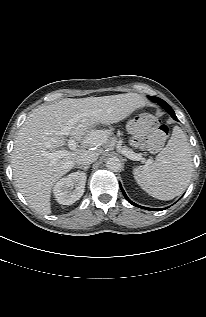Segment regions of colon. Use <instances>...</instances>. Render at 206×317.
<instances>
[{
  "label": "colon",
  "mask_w": 206,
  "mask_h": 317,
  "mask_svg": "<svg viewBox=\"0 0 206 317\" xmlns=\"http://www.w3.org/2000/svg\"><path fill=\"white\" fill-rule=\"evenodd\" d=\"M137 121L140 126L151 132L147 140L148 147L151 150H158L168 135L169 129L167 125L161 124L156 117L148 113L139 115Z\"/></svg>",
  "instance_id": "colon-1"
}]
</instances>
